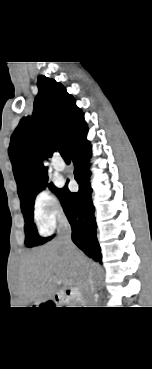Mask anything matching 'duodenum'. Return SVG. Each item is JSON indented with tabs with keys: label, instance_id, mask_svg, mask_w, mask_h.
Listing matches in <instances>:
<instances>
[{
	"label": "duodenum",
	"instance_id": "1",
	"mask_svg": "<svg viewBox=\"0 0 152 369\" xmlns=\"http://www.w3.org/2000/svg\"><path fill=\"white\" fill-rule=\"evenodd\" d=\"M59 299H65L67 301H72V302H78V303H82L83 302V295L80 292L79 289L77 288H70L68 290H66L64 293L59 294L58 295Z\"/></svg>",
	"mask_w": 152,
	"mask_h": 369
}]
</instances>
